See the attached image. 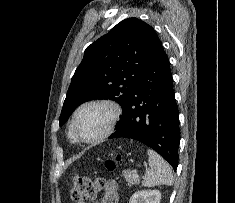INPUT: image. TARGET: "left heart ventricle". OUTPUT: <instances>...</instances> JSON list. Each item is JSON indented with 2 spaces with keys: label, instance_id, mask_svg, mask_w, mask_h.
<instances>
[{
  "label": "left heart ventricle",
  "instance_id": "left-heart-ventricle-1",
  "mask_svg": "<svg viewBox=\"0 0 235 203\" xmlns=\"http://www.w3.org/2000/svg\"><path fill=\"white\" fill-rule=\"evenodd\" d=\"M111 110L104 105H92L84 108L76 120V129L85 139H92L102 134L111 119Z\"/></svg>",
  "mask_w": 235,
  "mask_h": 203
}]
</instances>
